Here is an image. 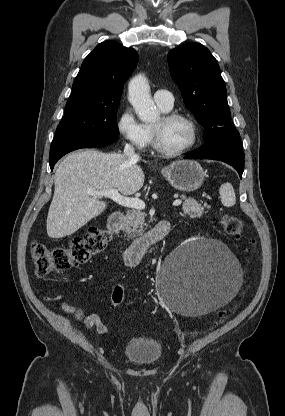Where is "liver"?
I'll list each match as a JSON object with an SVG mask.
<instances>
[{
    "label": "liver",
    "mask_w": 285,
    "mask_h": 416,
    "mask_svg": "<svg viewBox=\"0 0 285 416\" xmlns=\"http://www.w3.org/2000/svg\"><path fill=\"white\" fill-rule=\"evenodd\" d=\"M144 174L123 154H102L96 150H77L59 164L55 192L47 216L49 238H65L104 212L107 204L87 190L118 188L123 196L141 190Z\"/></svg>",
    "instance_id": "6515ba94"
}]
</instances>
